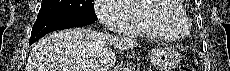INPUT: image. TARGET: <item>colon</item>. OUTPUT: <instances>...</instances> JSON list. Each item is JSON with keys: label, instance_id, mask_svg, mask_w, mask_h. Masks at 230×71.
<instances>
[{"label": "colon", "instance_id": "1", "mask_svg": "<svg viewBox=\"0 0 230 71\" xmlns=\"http://www.w3.org/2000/svg\"><path fill=\"white\" fill-rule=\"evenodd\" d=\"M179 70L180 71H193V68H191L190 66H187V65H181L179 67Z\"/></svg>", "mask_w": 230, "mask_h": 71}]
</instances>
